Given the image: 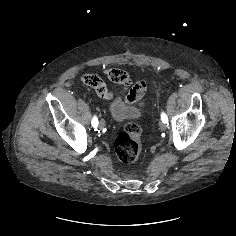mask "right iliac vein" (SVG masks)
<instances>
[{
	"label": "right iliac vein",
	"instance_id": "63e3f726",
	"mask_svg": "<svg viewBox=\"0 0 236 236\" xmlns=\"http://www.w3.org/2000/svg\"><path fill=\"white\" fill-rule=\"evenodd\" d=\"M99 126L100 128H103L105 126V121L103 119L100 120Z\"/></svg>",
	"mask_w": 236,
	"mask_h": 236
}]
</instances>
